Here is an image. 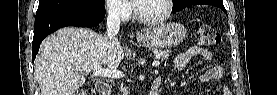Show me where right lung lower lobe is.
<instances>
[{
  "instance_id": "98d812e1",
  "label": "right lung lower lobe",
  "mask_w": 277,
  "mask_h": 95,
  "mask_svg": "<svg viewBox=\"0 0 277 95\" xmlns=\"http://www.w3.org/2000/svg\"><path fill=\"white\" fill-rule=\"evenodd\" d=\"M104 17V7L95 10H53L36 14L32 60H35L40 44L47 35L66 26L95 27Z\"/></svg>"
}]
</instances>
